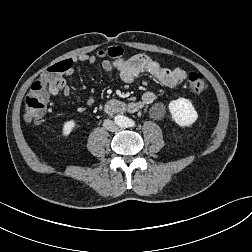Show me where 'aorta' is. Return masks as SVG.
I'll return each instance as SVG.
<instances>
[{"mask_svg":"<svg viewBox=\"0 0 252 252\" xmlns=\"http://www.w3.org/2000/svg\"><path fill=\"white\" fill-rule=\"evenodd\" d=\"M115 123L119 127H127L128 126V118L123 115H116L115 116Z\"/></svg>","mask_w":252,"mask_h":252,"instance_id":"obj_1","label":"aorta"}]
</instances>
